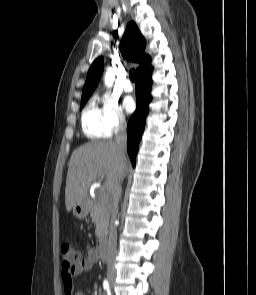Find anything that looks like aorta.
Segmentation results:
<instances>
[{
  "label": "aorta",
  "mask_w": 256,
  "mask_h": 295,
  "mask_svg": "<svg viewBox=\"0 0 256 295\" xmlns=\"http://www.w3.org/2000/svg\"><path fill=\"white\" fill-rule=\"evenodd\" d=\"M115 69L114 68H109L107 69L105 76H104V83L108 88H111L114 80H115Z\"/></svg>",
  "instance_id": "762f6f07"
}]
</instances>
